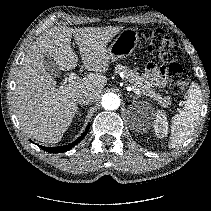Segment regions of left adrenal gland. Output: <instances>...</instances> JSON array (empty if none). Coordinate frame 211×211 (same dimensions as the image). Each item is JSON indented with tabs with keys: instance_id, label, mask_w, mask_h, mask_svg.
<instances>
[{
	"instance_id": "a2214340",
	"label": "left adrenal gland",
	"mask_w": 211,
	"mask_h": 211,
	"mask_svg": "<svg viewBox=\"0 0 211 211\" xmlns=\"http://www.w3.org/2000/svg\"><path fill=\"white\" fill-rule=\"evenodd\" d=\"M130 97H132L133 99H137L138 97L137 96H135V95H130Z\"/></svg>"
}]
</instances>
